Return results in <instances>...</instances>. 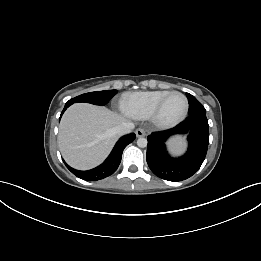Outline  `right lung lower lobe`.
I'll return each instance as SVG.
<instances>
[{
    "label": "right lung lower lobe",
    "mask_w": 261,
    "mask_h": 261,
    "mask_svg": "<svg viewBox=\"0 0 261 261\" xmlns=\"http://www.w3.org/2000/svg\"><path fill=\"white\" fill-rule=\"evenodd\" d=\"M70 105L66 104L62 113H64V111L69 107ZM60 116V118H61ZM135 139V134H128L123 136L122 138H120L118 140V142L116 143V145L114 146L112 152L110 153V155L108 156V158L98 167L88 170V171H79L76 169L71 168L69 165H67L65 162L66 167L77 177L87 180V181H97L103 178H106L108 176H110L111 174H113L120 162H121V157H122V153L124 148L130 144L133 140Z\"/></svg>",
    "instance_id": "obj_1"
}]
</instances>
